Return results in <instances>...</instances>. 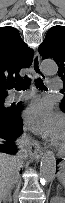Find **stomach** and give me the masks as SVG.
<instances>
[{
  "label": "stomach",
  "mask_w": 65,
  "mask_h": 203,
  "mask_svg": "<svg viewBox=\"0 0 65 203\" xmlns=\"http://www.w3.org/2000/svg\"><path fill=\"white\" fill-rule=\"evenodd\" d=\"M60 180H61L62 182L65 181V172H64V169L62 170V173H61V175H60Z\"/></svg>",
  "instance_id": "stomach-1"
}]
</instances>
